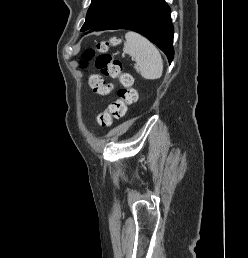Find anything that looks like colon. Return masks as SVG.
Returning <instances> with one entry per match:
<instances>
[{"instance_id": "obj_1", "label": "colon", "mask_w": 248, "mask_h": 258, "mask_svg": "<svg viewBox=\"0 0 248 258\" xmlns=\"http://www.w3.org/2000/svg\"><path fill=\"white\" fill-rule=\"evenodd\" d=\"M117 38H109L98 41L92 48H87L82 54L81 67L94 61L95 67L101 72L89 77L88 84L93 92L100 95H107L110 87L106 84L103 76L118 79L119 86L117 99L111 102L106 110L101 112L97 121L103 127H109L114 119H122L128 106L137 100V92L133 88V78L129 73L123 71L122 62L110 55L107 50L110 46L117 44Z\"/></svg>"}]
</instances>
